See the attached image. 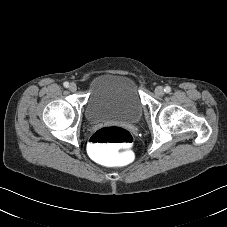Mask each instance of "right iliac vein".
Masks as SVG:
<instances>
[{
    "mask_svg": "<svg viewBox=\"0 0 227 227\" xmlns=\"http://www.w3.org/2000/svg\"><path fill=\"white\" fill-rule=\"evenodd\" d=\"M69 90H70L71 92H75V91L77 90V85H76L75 83H71V84L69 85Z\"/></svg>",
    "mask_w": 227,
    "mask_h": 227,
    "instance_id": "1",
    "label": "right iliac vein"
}]
</instances>
